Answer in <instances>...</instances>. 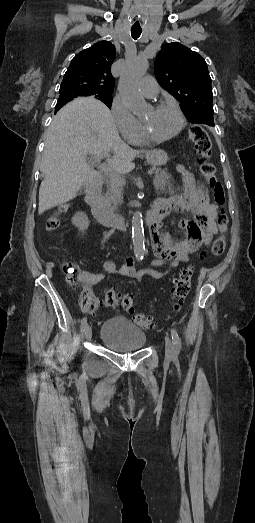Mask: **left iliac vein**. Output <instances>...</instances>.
<instances>
[{"label":"left iliac vein","mask_w":255,"mask_h":523,"mask_svg":"<svg viewBox=\"0 0 255 523\" xmlns=\"http://www.w3.org/2000/svg\"><path fill=\"white\" fill-rule=\"evenodd\" d=\"M165 357L168 360L173 357V345L169 337H165Z\"/></svg>","instance_id":"obj_1"}]
</instances>
